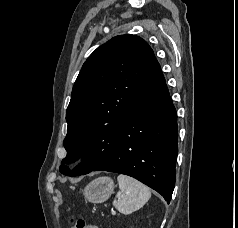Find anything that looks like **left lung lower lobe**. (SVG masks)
Wrapping results in <instances>:
<instances>
[{
	"instance_id": "left-lung-lower-lobe-1",
	"label": "left lung lower lobe",
	"mask_w": 238,
	"mask_h": 228,
	"mask_svg": "<svg viewBox=\"0 0 238 228\" xmlns=\"http://www.w3.org/2000/svg\"><path fill=\"white\" fill-rule=\"evenodd\" d=\"M177 131V113L156 61L119 130L114 153L90 172L104 170L134 177L170 201L176 178Z\"/></svg>"
}]
</instances>
